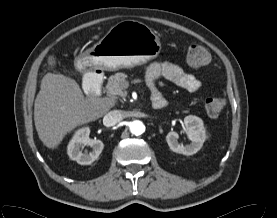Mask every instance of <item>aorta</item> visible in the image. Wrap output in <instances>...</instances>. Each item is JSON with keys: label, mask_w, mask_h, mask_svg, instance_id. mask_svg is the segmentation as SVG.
Returning a JSON list of instances; mask_svg holds the SVG:
<instances>
[{"label": "aorta", "mask_w": 277, "mask_h": 218, "mask_svg": "<svg viewBox=\"0 0 277 218\" xmlns=\"http://www.w3.org/2000/svg\"><path fill=\"white\" fill-rule=\"evenodd\" d=\"M130 131L132 134L138 136L145 131V126L141 121L135 120L130 124Z\"/></svg>", "instance_id": "762f6f07"}]
</instances>
